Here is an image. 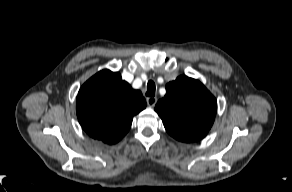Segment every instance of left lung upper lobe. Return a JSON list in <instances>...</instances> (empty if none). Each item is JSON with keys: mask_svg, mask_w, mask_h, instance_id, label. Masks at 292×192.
<instances>
[{"mask_svg": "<svg viewBox=\"0 0 292 192\" xmlns=\"http://www.w3.org/2000/svg\"><path fill=\"white\" fill-rule=\"evenodd\" d=\"M155 110L172 137L193 142L204 138L210 130L217 102L200 81L182 75L166 85V95L157 102Z\"/></svg>", "mask_w": 292, "mask_h": 192, "instance_id": "obj_1", "label": "left lung upper lobe"}]
</instances>
